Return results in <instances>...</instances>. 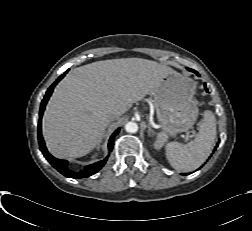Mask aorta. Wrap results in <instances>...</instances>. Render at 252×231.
<instances>
[{
  "instance_id": "obj_1",
  "label": "aorta",
  "mask_w": 252,
  "mask_h": 231,
  "mask_svg": "<svg viewBox=\"0 0 252 231\" xmlns=\"http://www.w3.org/2000/svg\"><path fill=\"white\" fill-rule=\"evenodd\" d=\"M125 130L128 133H135L138 131V125H137V123L130 121V122L126 123Z\"/></svg>"
}]
</instances>
